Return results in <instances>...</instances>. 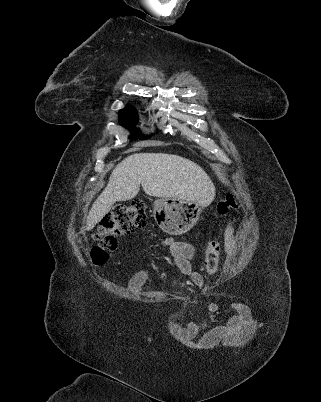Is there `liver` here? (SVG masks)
I'll use <instances>...</instances> for the list:
<instances>
[{"label": "liver", "instance_id": "1", "mask_svg": "<svg viewBox=\"0 0 321 402\" xmlns=\"http://www.w3.org/2000/svg\"><path fill=\"white\" fill-rule=\"evenodd\" d=\"M140 185L149 196L200 202L202 206L209 205L215 196L210 177L193 161L165 153H135L112 171L89 211L86 230H92L116 201L133 199Z\"/></svg>", "mask_w": 321, "mask_h": 402}]
</instances>
